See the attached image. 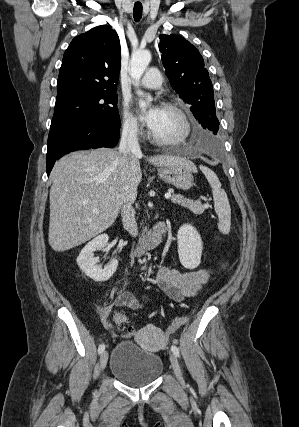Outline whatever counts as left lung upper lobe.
Here are the masks:
<instances>
[{
	"label": "left lung upper lobe",
	"mask_w": 299,
	"mask_h": 427,
	"mask_svg": "<svg viewBox=\"0 0 299 427\" xmlns=\"http://www.w3.org/2000/svg\"><path fill=\"white\" fill-rule=\"evenodd\" d=\"M159 38L162 63L173 89L191 105L190 110L198 122L205 119L206 129L217 134L219 121L214 91L203 57L195 46L179 35L162 34Z\"/></svg>",
	"instance_id": "left-lung-upper-lobe-1"
}]
</instances>
